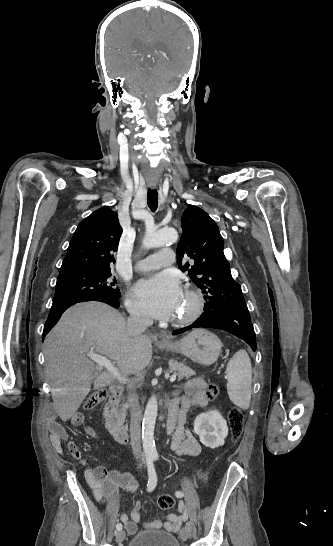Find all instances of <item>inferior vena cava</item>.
Here are the masks:
<instances>
[{"label": "inferior vena cava", "instance_id": "1", "mask_svg": "<svg viewBox=\"0 0 333 546\" xmlns=\"http://www.w3.org/2000/svg\"><path fill=\"white\" fill-rule=\"evenodd\" d=\"M130 316L127 319V329L130 333L139 335L143 333L150 320L138 309L130 307L128 309ZM129 402L131 405L130 437L131 447L136 459H142L141 451V411L139 409L138 397L136 394H130ZM141 466V463L139 464Z\"/></svg>", "mask_w": 333, "mask_h": 546}]
</instances>
